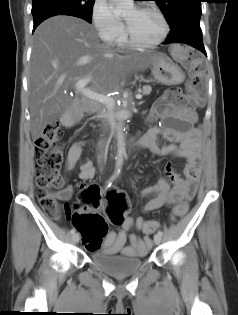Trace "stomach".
I'll return each mask as SVG.
<instances>
[{
	"label": "stomach",
	"mask_w": 238,
	"mask_h": 315,
	"mask_svg": "<svg viewBox=\"0 0 238 315\" xmlns=\"http://www.w3.org/2000/svg\"><path fill=\"white\" fill-rule=\"evenodd\" d=\"M151 72L157 82L165 85L178 84L182 79H188V72H181L180 68L164 54L152 63ZM182 115L193 116L194 110L183 109Z\"/></svg>",
	"instance_id": "obj_1"
}]
</instances>
